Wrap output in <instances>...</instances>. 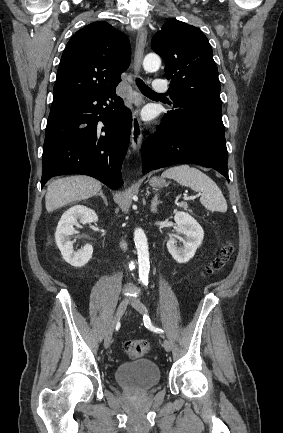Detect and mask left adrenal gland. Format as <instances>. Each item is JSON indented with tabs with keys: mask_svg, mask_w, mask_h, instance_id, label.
Masks as SVG:
<instances>
[{
	"mask_svg": "<svg viewBox=\"0 0 283 433\" xmlns=\"http://www.w3.org/2000/svg\"><path fill=\"white\" fill-rule=\"evenodd\" d=\"M159 202H162V200H158L157 192H155V196H153L152 202H151L152 212H157V204H159Z\"/></svg>",
	"mask_w": 283,
	"mask_h": 433,
	"instance_id": "1",
	"label": "left adrenal gland"
}]
</instances>
